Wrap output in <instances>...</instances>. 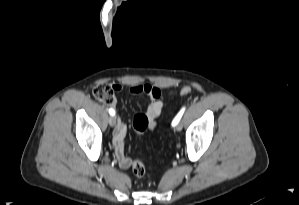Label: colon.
I'll return each instance as SVG.
<instances>
[{
	"label": "colon",
	"instance_id": "1",
	"mask_svg": "<svg viewBox=\"0 0 299 205\" xmlns=\"http://www.w3.org/2000/svg\"><path fill=\"white\" fill-rule=\"evenodd\" d=\"M115 87L109 83L101 82L94 86L93 95L96 99L106 105L115 103ZM192 93V88L183 87L180 95L187 96ZM148 128V118L144 114H137L133 119V129L137 135H142ZM131 171L135 178L143 179L146 176V168L144 164L138 160L133 161Z\"/></svg>",
	"mask_w": 299,
	"mask_h": 205
}]
</instances>
